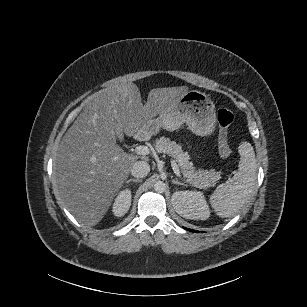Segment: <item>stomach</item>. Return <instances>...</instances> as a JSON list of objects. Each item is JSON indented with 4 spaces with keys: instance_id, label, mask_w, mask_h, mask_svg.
Here are the masks:
<instances>
[{
    "instance_id": "1",
    "label": "stomach",
    "mask_w": 307,
    "mask_h": 307,
    "mask_svg": "<svg viewBox=\"0 0 307 307\" xmlns=\"http://www.w3.org/2000/svg\"><path fill=\"white\" fill-rule=\"evenodd\" d=\"M186 124L197 136L211 135L216 126L215 105L205 93L190 90L184 94L176 107L161 112L147 122L146 130L155 135L161 129L173 132Z\"/></svg>"
}]
</instances>
